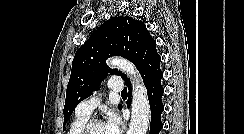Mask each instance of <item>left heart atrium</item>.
<instances>
[{
	"label": "left heart atrium",
	"mask_w": 244,
	"mask_h": 134,
	"mask_svg": "<svg viewBox=\"0 0 244 134\" xmlns=\"http://www.w3.org/2000/svg\"><path fill=\"white\" fill-rule=\"evenodd\" d=\"M104 125L107 134H121V121L116 115H110Z\"/></svg>",
	"instance_id": "39dd6f15"
}]
</instances>
